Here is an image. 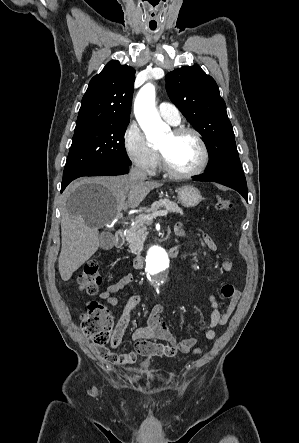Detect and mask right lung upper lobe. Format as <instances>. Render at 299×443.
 <instances>
[{"label":"right lung upper lobe","instance_id":"obj_1","mask_svg":"<svg viewBox=\"0 0 299 443\" xmlns=\"http://www.w3.org/2000/svg\"><path fill=\"white\" fill-rule=\"evenodd\" d=\"M134 80V68L117 60L108 62L89 83L75 129L109 120H129Z\"/></svg>","mask_w":299,"mask_h":443}]
</instances>
